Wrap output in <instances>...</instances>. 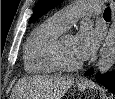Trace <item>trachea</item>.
Wrapping results in <instances>:
<instances>
[{
  "instance_id": "1",
  "label": "trachea",
  "mask_w": 115,
  "mask_h": 99,
  "mask_svg": "<svg viewBox=\"0 0 115 99\" xmlns=\"http://www.w3.org/2000/svg\"><path fill=\"white\" fill-rule=\"evenodd\" d=\"M104 17L110 18L111 17V10L110 7H107L104 11Z\"/></svg>"
}]
</instances>
